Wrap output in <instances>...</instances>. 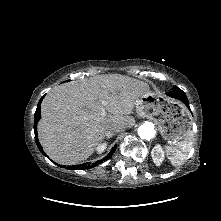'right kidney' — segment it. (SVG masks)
I'll return each instance as SVG.
<instances>
[{"label": "right kidney", "instance_id": "obj_1", "mask_svg": "<svg viewBox=\"0 0 221 221\" xmlns=\"http://www.w3.org/2000/svg\"><path fill=\"white\" fill-rule=\"evenodd\" d=\"M107 147V143L99 144L96 148L98 154H101Z\"/></svg>", "mask_w": 221, "mask_h": 221}]
</instances>
